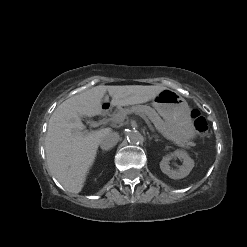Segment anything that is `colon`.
Instances as JSON below:
<instances>
[{
	"mask_svg": "<svg viewBox=\"0 0 247 247\" xmlns=\"http://www.w3.org/2000/svg\"><path fill=\"white\" fill-rule=\"evenodd\" d=\"M193 120H194V127L196 132L200 136H205L208 132V125L203 116L200 115L199 112L194 111L192 114Z\"/></svg>",
	"mask_w": 247,
	"mask_h": 247,
	"instance_id": "1",
	"label": "colon"
}]
</instances>
